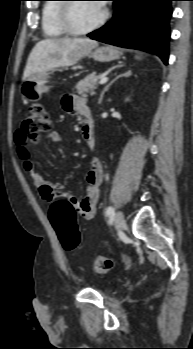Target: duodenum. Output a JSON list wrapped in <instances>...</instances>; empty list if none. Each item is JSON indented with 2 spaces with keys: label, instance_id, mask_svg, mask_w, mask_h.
Wrapping results in <instances>:
<instances>
[{
  "label": "duodenum",
  "instance_id": "1",
  "mask_svg": "<svg viewBox=\"0 0 193 349\" xmlns=\"http://www.w3.org/2000/svg\"><path fill=\"white\" fill-rule=\"evenodd\" d=\"M85 116H86V118L90 121V123H92V121H91V116H90V112H89V111L85 112Z\"/></svg>",
  "mask_w": 193,
  "mask_h": 349
}]
</instances>
